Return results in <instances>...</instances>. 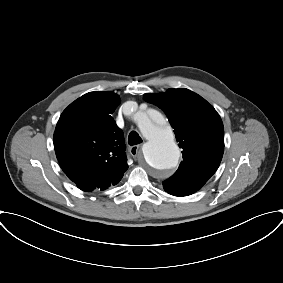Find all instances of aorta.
<instances>
[{
	"mask_svg": "<svg viewBox=\"0 0 283 283\" xmlns=\"http://www.w3.org/2000/svg\"><path fill=\"white\" fill-rule=\"evenodd\" d=\"M134 121L147 140L142 148L147 164L160 173L174 169L180 150L171 128L164 124L163 116L150 110L147 114L136 115Z\"/></svg>",
	"mask_w": 283,
	"mask_h": 283,
	"instance_id": "aorta-1",
	"label": "aorta"
}]
</instances>
